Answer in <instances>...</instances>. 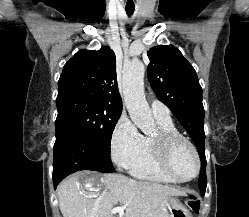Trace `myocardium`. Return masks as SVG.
<instances>
[{"instance_id":"1","label":"myocardium","mask_w":249,"mask_h":217,"mask_svg":"<svg viewBox=\"0 0 249 217\" xmlns=\"http://www.w3.org/2000/svg\"><path fill=\"white\" fill-rule=\"evenodd\" d=\"M180 143L186 144L191 149L196 161V170L194 174L188 178L180 177L174 171L171 163L173 150ZM153 147L162 169L174 180L178 182H188L198 176L201 169V160L198 150L195 145L182 134L176 132L160 131L153 138Z\"/></svg>"}]
</instances>
